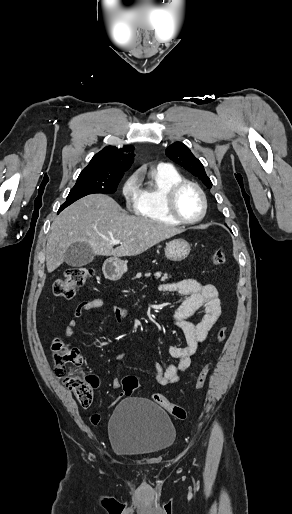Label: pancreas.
<instances>
[{"mask_svg": "<svg viewBox=\"0 0 292 514\" xmlns=\"http://www.w3.org/2000/svg\"><path fill=\"white\" fill-rule=\"evenodd\" d=\"M142 274H137L136 278H141ZM145 276H151V274H145ZM154 276H156V278H161L162 274L161 272H156V274H154ZM168 278V274H164V276H162L161 278V282H165V280H167Z\"/></svg>", "mask_w": 292, "mask_h": 514, "instance_id": "1", "label": "pancreas"}]
</instances>
